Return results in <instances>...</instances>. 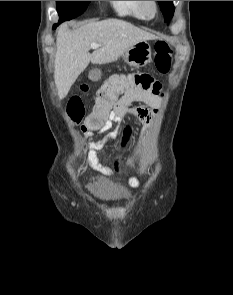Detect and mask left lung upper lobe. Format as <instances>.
I'll list each match as a JSON object with an SVG mask.
<instances>
[{"label":"left lung upper lobe","mask_w":233,"mask_h":295,"mask_svg":"<svg viewBox=\"0 0 233 295\" xmlns=\"http://www.w3.org/2000/svg\"><path fill=\"white\" fill-rule=\"evenodd\" d=\"M172 2L173 1H158L160 9L164 15L165 21L170 20L174 14L175 8Z\"/></svg>","instance_id":"5c2ea615"}]
</instances>
